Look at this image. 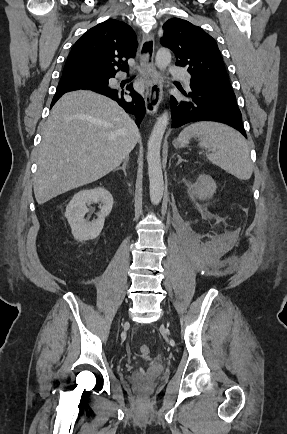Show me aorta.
<instances>
[{
  "mask_svg": "<svg viewBox=\"0 0 287 434\" xmlns=\"http://www.w3.org/2000/svg\"><path fill=\"white\" fill-rule=\"evenodd\" d=\"M171 62V53L166 48L157 51L155 63L160 71L164 72ZM169 113L164 111L157 118L151 135L148 139L147 162L149 175L150 200L152 204L158 205L163 197L164 181L161 167L160 149L163 135L169 122Z\"/></svg>",
  "mask_w": 287,
  "mask_h": 434,
  "instance_id": "1",
  "label": "aorta"
}]
</instances>
